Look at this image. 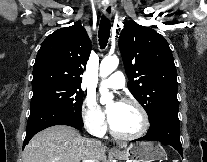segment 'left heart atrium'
<instances>
[{
    "instance_id": "1",
    "label": "left heart atrium",
    "mask_w": 207,
    "mask_h": 162,
    "mask_svg": "<svg viewBox=\"0 0 207 162\" xmlns=\"http://www.w3.org/2000/svg\"><path fill=\"white\" fill-rule=\"evenodd\" d=\"M108 118L111 121L112 115H111V113L109 111H108Z\"/></svg>"
}]
</instances>
